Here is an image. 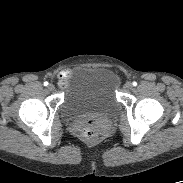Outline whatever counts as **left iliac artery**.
I'll list each match as a JSON object with an SVG mask.
<instances>
[{
	"mask_svg": "<svg viewBox=\"0 0 183 183\" xmlns=\"http://www.w3.org/2000/svg\"><path fill=\"white\" fill-rule=\"evenodd\" d=\"M132 84H133V86H137V82H135V81Z\"/></svg>",
	"mask_w": 183,
	"mask_h": 183,
	"instance_id": "left-iliac-artery-1",
	"label": "left iliac artery"
}]
</instances>
